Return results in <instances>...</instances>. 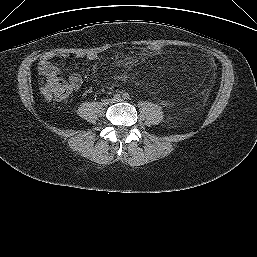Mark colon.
<instances>
[{
    "label": "colon",
    "mask_w": 257,
    "mask_h": 257,
    "mask_svg": "<svg viewBox=\"0 0 257 257\" xmlns=\"http://www.w3.org/2000/svg\"><path fill=\"white\" fill-rule=\"evenodd\" d=\"M147 49L152 53H158L162 50V46L159 44H151ZM46 91L50 96L60 101H66L71 94L70 86L66 83L65 79L57 73L48 76Z\"/></svg>",
    "instance_id": "colon-1"
}]
</instances>
